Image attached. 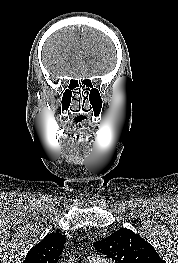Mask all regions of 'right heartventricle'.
Instances as JSON below:
<instances>
[{
    "mask_svg": "<svg viewBox=\"0 0 178 263\" xmlns=\"http://www.w3.org/2000/svg\"><path fill=\"white\" fill-rule=\"evenodd\" d=\"M85 263H110V262H108L106 260H104V261H91V260H88Z\"/></svg>",
    "mask_w": 178,
    "mask_h": 263,
    "instance_id": "obj_1",
    "label": "right heart ventricle"
}]
</instances>
